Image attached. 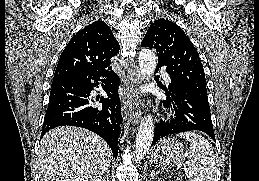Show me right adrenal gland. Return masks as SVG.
<instances>
[{
	"mask_svg": "<svg viewBox=\"0 0 259 181\" xmlns=\"http://www.w3.org/2000/svg\"><path fill=\"white\" fill-rule=\"evenodd\" d=\"M109 176H110V174H109V172H108V173H107V176L104 177L102 181H110V180H109Z\"/></svg>",
	"mask_w": 259,
	"mask_h": 181,
	"instance_id": "obj_1",
	"label": "right adrenal gland"
}]
</instances>
